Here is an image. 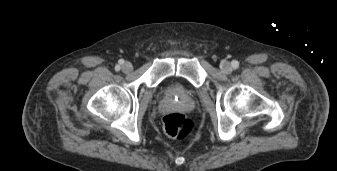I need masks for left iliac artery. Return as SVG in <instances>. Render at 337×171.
I'll use <instances>...</instances> for the list:
<instances>
[{
	"instance_id": "obj_1",
	"label": "left iliac artery",
	"mask_w": 337,
	"mask_h": 171,
	"mask_svg": "<svg viewBox=\"0 0 337 171\" xmlns=\"http://www.w3.org/2000/svg\"><path fill=\"white\" fill-rule=\"evenodd\" d=\"M231 64H232V67H233L234 69H236V68L239 67V62L236 61V60H233Z\"/></svg>"
}]
</instances>
